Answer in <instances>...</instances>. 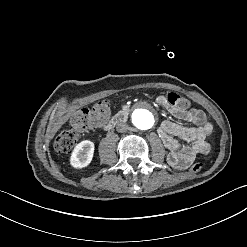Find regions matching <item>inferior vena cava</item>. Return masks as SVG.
<instances>
[{"label":"inferior vena cava","instance_id":"1","mask_svg":"<svg viewBox=\"0 0 247 247\" xmlns=\"http://www.w3.org/2000/svg\"><path fill=\"white\" fill-rule=\"evenodd\" d=\"M129 125L127 123H124V122H120L116 125V130L117 132H126L129 130Z\"/></svg>","mask_w":247,"mask_h":247}]
</instances>
